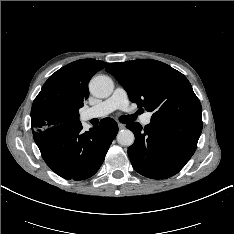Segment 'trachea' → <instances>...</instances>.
I'll list each match as a JSON object with an SVG mask.
<instances>
[{
    "instance_id": "3493384b",
    "label": "trachea",
    "mask_w": 234,
    "mask_h": 234,
    "mask_svg": "<svg viewBox=\"0 0 234 234\" xmlns=\"http://www.w3.org/2000/svg\"><path fill=\"white\" fill-rule=\"evenodd\" d=\"M136 119V115H125L120 118L122 123H130Z\"/></svg>"
}]
</instances>
